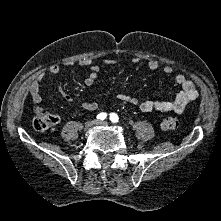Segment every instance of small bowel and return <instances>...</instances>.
I'll return each instance as SVG.
<instances>
[{
  "label": "small bowel",
  "mask_w": 221,
  "mask_h": 221,
  "mask_svg": "<svg viewBox=\"0 0 221 221\" xmlns=\"http://www.w3.org/2000/svg\"><path fill=\"white\" fill-rule=\"evenodd\" d=\"M104 64L113 65L116 64V61L113 59H105ZM133 62L138 63L139 59L134 58ZM70 63H68L69 65ZM78 64L82 67L89 68L90 72L86 79L84 80L85 86H92L97 78L100 71V67L94 63V61L90 58H82L78 61ZM147 66L150 70L157 71L162 69L165 75H171L173 73V69L170 66H162L160 62L157 60L151 59L147 62ZM60 72V68L58 65H51L48 68V73L50 75H57ZM45 79V73H40L36 79L30 84L28 88V92L31 96L33 103L36 106H39L42 103V96L40 94V87L43 84ZM173 79L177 85L180 86L181 90L177 94L174 99L171 100H140L137 97L132 95L121 93L117 96V99L120 102L130 104L132 106H137L143 112H151V111H159V112H168L173 111L176 113H181L186 106L197 98V90L192 81L186 78L184 74L177 73L173 76ZM55 87L57 89L58 94L68 100L74 101V98L71 94H69L64 88L63 84L60 81L55 83ZM82 108L95 111L98 108V104L95 102L82 101ZM58 120L60 117L57 115Z\"/></svg>",
  "instance_id": "1"
}]
</instances>
